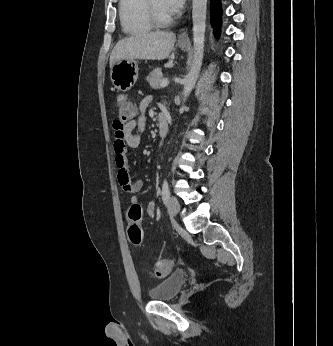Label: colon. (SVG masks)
<instances>
[{"mask_svg":"<svg viewBox=\"0 0 333 346\" xmlns=\"http://www.w3.org/2000/svg\"><path fill=\"white\" fill-rule=\"evenodd\" d=\"M117 110L120 121H129L137 115L136 105L125 95L117 97ZM141 217L142 209L140 205H132L127 212V220L129 222L127 234L129 241L135 246H139L143 242V231L139 225ZM173 266L172 260H159L155 264L154 274L159 278L165 277L172 271Z\"/></svg>","mask_w":333,"mask_h":346,"instance_id":"obj_1","label":"colon"}]
</instances>
